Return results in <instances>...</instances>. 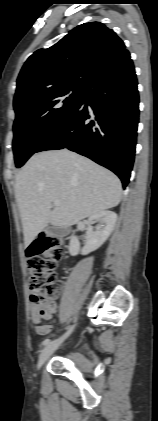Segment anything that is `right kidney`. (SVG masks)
Listing matches in <instances>:
<instances>
[{"label":"right kidney","instance_id":"ca27d5eb","mask_svg":"<svg viewBox=\"0 0 158 421\" xmlns=\"http://www.w3.org/2000/svg\"><path fill=\"white\" fill-rule=\"evenodd\" d=\"M117 221L116 213L112 211H102L89 217L87 221L86 242L83 248H80V242L77 237L73 236L69 243V253L75 256L79 253L87 255L88 253L98 249L110 236L114 230ZM98 223L95 230L91 226Z\"/></svg>","mask_w":158,"mask_h":421}]
</instances>
